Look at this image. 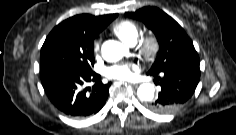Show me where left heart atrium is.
<instances>
[{
  "mask_svg": "<svg viewBox=\"0 0 236 135\" xmlns=\"http://www.w3.org/2000/svg\"><path fill=\"white\" fill-rule=\"evenodd\" d=\"M137 65L134 63H124L114 65L107 70V76L118 79H129L134 71L137 70Z\"/></svg>",
  "mask_w": 236,
  "mask_h": 135,
  "instance_id": "39dd6f15",
  "label": "left heart atrium"
}]
</instances>
